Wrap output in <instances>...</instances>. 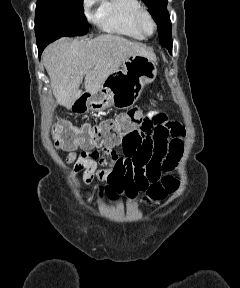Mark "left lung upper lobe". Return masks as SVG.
<instances>
[{
  "label": "left lung upper lobe",
  "mask_w": 240,
  "mask_h": 288,
  "mask_svg": "<svg viewBox=\"0 0 240 288\" xmlns=\"http://www.w3.org/2000/svg\"><path fill=\"white\" fill-rule=\"evenodd\" d=\"M148 6L153 19L158 25L160 43L172 54V32L169 13L167 11V0H143Z\"/></svg>",
  "instance_id": "5c2ea615"
}]
</instances>
